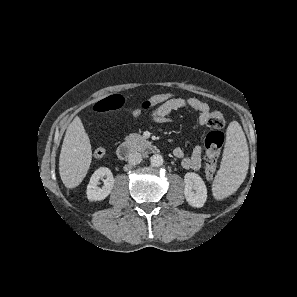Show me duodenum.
<instances>
[{"mask_svg":"<svg viewBox=\"0 0 297 297\" xmlns=\"http://www.w3.org/2000/svg\"><path fill=\"white\" fill-rule=\"evenodd\" d=\"M137 148L147 153L157 152V147L150 141H143L138 147L132 143L124 142L117 147V156L119 160H127Z\"/></svg>","mask_w":297,"mask_h":297,"instance_id":"obj_1","label":"duodenum"}]
</instances>
